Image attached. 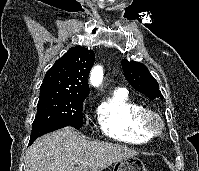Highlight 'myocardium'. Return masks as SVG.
Returning <instances> with one entry per match:
<instances>
[{
	"mask_svg": "<svg viewBox=\"0 0 199 171\" xmlns=\"http://www.w3.org/2000/svg\"><path fill=\"white\" fill-rule=\"evenodd\" d=\"M141 122L144 128L153 135L162 134L165 130L162 116L152 109L144 108L142 110Z\"/></svg>",
	"mask_w": 199,
	"mask_h": 171,
	"instance_id": "obj_1",
	"label": "myocardium"
}]
</instances>
